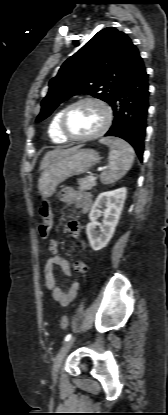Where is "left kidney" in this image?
<instances>
[{"label":"left kidney","instance_id":"left-kidney-1","mask_svg":"<svg viewBox=\"0 0 168 415\" xmlns=\"http://www.w3.org/2000/svg\"><path fill=\"white\" fill-rule=\"evenodd\" d=\"M127 190L125 187L103 192L96 198L89 213L90 222L86 226V234L94 251L104 248L112 238L118 224ZM104 207V211L101 209ZM103 214V226L100 234L96 231L97 219Z\"/></svg>","mask_w":168,"mask_h":415}]
</instances>
